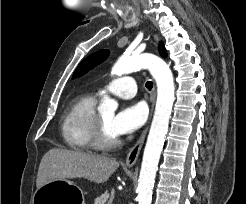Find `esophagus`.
<instances>
[{
  "label": "esophagus",
  "mask_w": 246,
  "mask_h": 204,
  "mask_svg": "<svg viewBox=\"0 0 246 204\" xmlns=\"http://www.w3.org/2000/svg\"><path fill=\"white\" fill-rule=\"evenodd\" d=\"M155 97H156V91H155V87L153 88V93H152V97H151V113H150V118H149V122H150V119H151V115H152V112H153V108H154V104H155ZM149 122L147 124V126L144 128V130L142 131L140 137L138 138L137 142L135 143V145L130 149L128 155H127V158H126V165L128 167H132L137 159H138V156H139V153L142 149V146L144 144V141H145V138H146V135H147V131H148V128H149Z\"/></svg>",
  "instance_id": "esophagus-1"
}]
</instances>
